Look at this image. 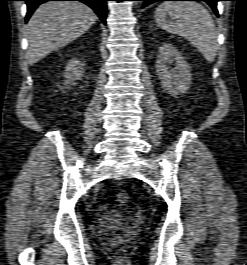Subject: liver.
<instances>
[{"label": "liver", "mask_w": 247, "mask_h": 265, "mask_svg": "<svg viewBox=\"0 0 247 265\" xmlns=\"http://www.w3.org/2000/svg\"><path fill=\"white\" fill-rule=\"evenodd\" d=\"M96 20L94 11L80 2L53 1L40 5L27 24L30 65L83 35Z\"/></svg>", "instance_id": "6515ba94"}]
</instances>
